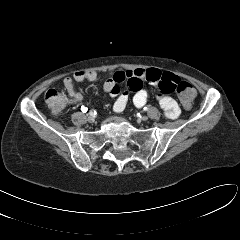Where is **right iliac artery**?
Segmentation results:
<instances>
[{
  "mask_svg": "<svg viewBox=\"0 0 240 240\" xmlns=\"http://www.w3.org/2000/svg\"><path fill=\"white\" fill-rule=\"evenodd\" d=\"M82 112H86L87 111V108H85L84 106H82ZM89 114H91V115H95L96 114V111L95 110H91L90 112H89Z\"/></svg>",
  "mask_w": 240,
  "mask_h": 240,
  "instance_id": "82829eb1",
  "label": "right iliac artery"
}]
</instances>
